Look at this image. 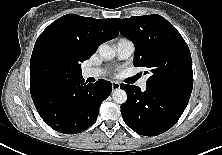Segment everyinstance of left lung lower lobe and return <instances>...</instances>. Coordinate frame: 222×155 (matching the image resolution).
<instances>
[{
  "label": "left lung lower lobe",
  "instance_id": "0a47b994",
  "mask_svg": "<svg viewBox=\"0 0 222 155\" xmlns=\"http://www.w3.org/2000/svg\"><path fill=\"white\" fill-rule=\"evenodd\" d=\"M127 101L120 106L124 122L136 133L157 136L170 129L181 117L189 98L168 91L121 84Z\"/></svg>",
  "mask_w": 222,
  "mask_h": 155
}]
</instances>
